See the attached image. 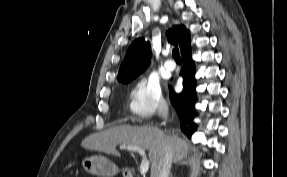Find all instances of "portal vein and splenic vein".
<instances>
[{
	"instance_id": "portal-vein-and-splenic-vein-1",
	"label": "portal vein and splenic vein",
	"mask_w": 287,
	"mask_h": 177,
	"mask_svg": "<svg viewBox=\"0 0 287 177\" xmlns=\"http://www.w3.org/2000/svg\"><path fill=\"white\" fill-rule=\"evenodd\" d=\"M122 149L130 150V151H137L139 154L143 156L142 162L140 164V173L142 175L146 174L149 170L150 162L146 158L145 150L142 147L139 146H126L122 145Z\"/></svg>"
}]
</instances>
